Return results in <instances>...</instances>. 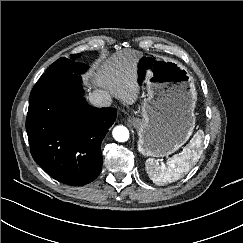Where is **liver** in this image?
Masks as SVG:
<instances>
[{
    "instance_id": "6515ba94",
    "label": "liver",
    "mask_w": 243,
    "mask_h": 243,
    "mask_svg": "<svg viewBox=\"0 0 243 243\" xmlns=\"http://www.w3.org/2000/svg\"><path fill=\"white\" fill-rule=\"evenodd\" d=\"M141 52L124 49L108 57L97 67V72L86 75L92 83L111 95L120 99L124 104H133L139 94L136 65Z\"/></svg>"
}]
</instances>
